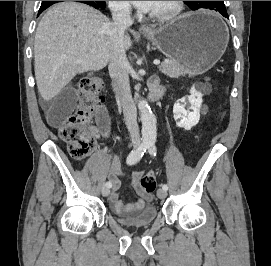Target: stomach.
<instances>
[{"label": "stomach", "instance_id": "1", "mask_svg": "<svg viewBox=\"0 0 271 266\" xmlns=\"http://www.w3.org/2000/svg\"><path fill=\"white\" fill-rule=\"evenodd\" d=\"M144 36L168 58L179 62L189 75H199L213 67L229 41L225 23L209 12L182 15Z\"/></svg>", "mask_w": 271, "mask_h": 266}]
</instances>
